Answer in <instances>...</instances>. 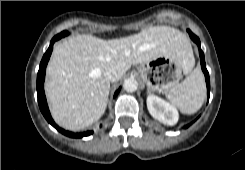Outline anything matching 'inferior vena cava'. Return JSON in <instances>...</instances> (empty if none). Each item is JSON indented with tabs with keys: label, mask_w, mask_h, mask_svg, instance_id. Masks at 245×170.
<instances>
[{
	"label": "inferior vena cava",
	"mask_w": 245,
	"mask_h": 170,
	"mask_svg": "<svg viewBox=\"0 0 245 170\" xmlns=\"http://www.w3.org/2000/svg\"><path fill=\"white\" fill-rule=\"evenodd\" d=\"M104 76L110 81V82H115L118 81L121 78V74L118 71V69L114 66H111L106 69L104 72Z\"/></svg>",
	"instance_id": "1"
}]
</instances>
